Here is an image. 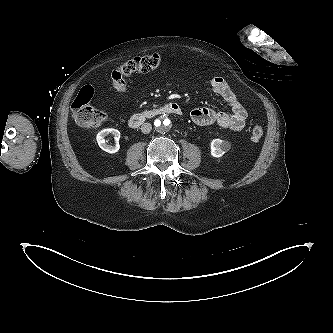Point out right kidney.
Returning <instances> with one entry per match:
<instances>
[{
	"instance_id": "right-kidney-1",
	"label": "right kidney",
	"mask_w": 333,
	"mask_h": 333,
	"mask_svg": "<svg viewBox=\"0 0 333 333\" xmlns=\"http://www.w3.org/2000/svg\"><path fill=\"white\" fill-rule=\"evenodd\" d=\"M108 134H112L114 136V139L116 140L115 146H110V145L106 144L105 136H107ZM119 138H120V132L117 129L108 128V129L101 130L97 134L96 140H97L99 147L102 150L112 154V153L118 152V150L120 148L119 143H118Z\"/></svg>"
}]
</instances>
